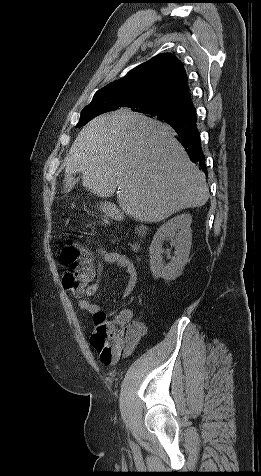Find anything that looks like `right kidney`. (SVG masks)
<instances>
[{"mask_svg":"<svg viewBox=\"0 0 261 476\" xmlns=\"http://www.w3.org/2000/svg\"><path fill=\"white\" fill-rule=\"evenodd\" d=\"M191 223L192 216L190 214H181L170 219L157 230L149 247L150 270L155 278L161 277L170 281L181 275L188 262L192 244ZM165 240H170L171 245L175 247L173 257L169 252H166L167 259H170L167 264L162 256L164 253L162 245Z\"/></svg>","mask_w":261,"mask_h":476,"instance_id":"obj_1","label":"right kidney"}]
</instances>
